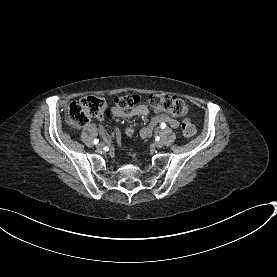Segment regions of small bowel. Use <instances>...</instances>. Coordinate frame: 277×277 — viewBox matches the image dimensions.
Masks as SVG:
<instances>
[{
    "mask_svg": "<svg viewBox=\"0 0 277 277\" xmlns=\"http://www.w3.org/2000/svg\"><path fill=\"white\" fill-rule=\"evenodd\" d=\"M113 112H114L115 116L123 118V119H130V118H133L136 116H148L151 114L150 108L144 104H138L127 112H123L118 109H114ZM98 121L101 122L102 117H99ZM160 122L166 123L169 126L174 127V128L178 126V121L171 116H168V115L156 116V117L152 118L150 123L141 130V132H140L141 136L144 138L149 137L152 134L154 127ZM99 130L103 135H106L105 129L102 125L99 126ZM113 132H115L116 136L120 135V132L118 129H113ZM127 133H129V134H127V137L132 136L131 129H127ZM105 141H106L105 149H108V146H109L108 138H105ZM106 153L110 154V150H106Z\"/></svg>",
    "mask_w": 277,
    "mask_h": 277,
    "instance_id": "small-bowel-1",
    "label": "small bowel"
}]
</instances>
